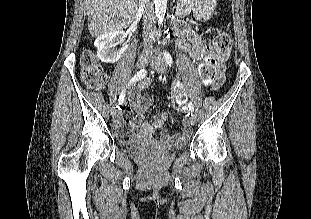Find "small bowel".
Returning <instances> with one entry per match:
<instances>
[{
	"label": "small bowel",
	"instance_id": "obj_1",
	"mask_svg": "<svg viewBox=\"0 0 311 219\" xmlns=\"http://www.w3.org/2000/svg\"><path fill=\"white\" fill-rule=\"evenodd\" d=\"M181 49L188 53L193 59H198L200 56V39L197 35H189L182 37L180 40ZM223 79L220 75H217L209 83L212 90H217L221 87ZM150 80L148 78L143 79L139 82L138 86L131 89L129 93V107L126 108L121 114L118 126L119 134L122 136L131 135L136 131L143 138H151L156 134L158 129L164 130L167 122L173 117L170 113L158 114L151 117L150 120H144V114L151 105L152 99L150 96H142L141 89H145L149 86ZM208 84V83H206ZM175 98L177 101L185 100V95L182 92L180 84L176 86ZM186 110L185 107H183ZM126 127V128H124ZM190 132L185 125V130L182 134L176 136L166 135L168 140L176 142H184L189 137Z\"/></svg>",
	"mask_w": 311,
	"mask_h": 219
}]
</instances>
